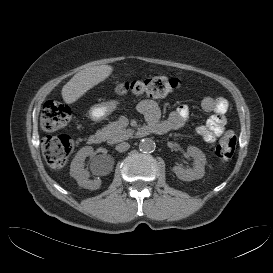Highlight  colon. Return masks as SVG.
I'll use <instances>...</instances> for the list:
<instances>
[{
    "label": "colon",
    "instance_id": "obj_1",
    "mask_svg": "<svg viewBox=\"0 0 273 273\" xmlns=\"http://www.w3.org/2000/svg\"><path fill=\"white\" fill-rule=\"evenodd\" d=\"M180 86L177 78L155 76L141 80L119 83L115 87L118 95L133 94L149 98L165 97ZM71 119L69 106L58 101H47L42 110L41 125L46 131H55L66 126ZM237 137L229 131L219 141L216 147L217 157L229 161L236 149ZM74 149V141L69 136L48 137L43 142V152L47 163L53 168L62 167Z\"/></svg>",
    "mask_w": 273,
    "mask_h": 273
}]
</instances>
